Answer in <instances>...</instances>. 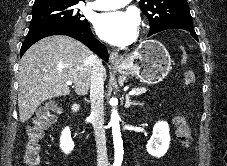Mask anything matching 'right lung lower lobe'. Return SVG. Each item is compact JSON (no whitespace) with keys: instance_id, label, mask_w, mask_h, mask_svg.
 Here are the masks:
<instances>
[{"instance_id":"right-lung-lower-lobe-1","label":"right lung lower lobe","mask_w":227,"mask_h":166,"mask_svg":"<svg viewBox=\"0 0 227 166\" xmlns=\"http://www.w3.org/2000/svg\"><path fill=\"white\" fill-rule=\"evenodd\" d=\"M52 35H67L73 37L85 44L88 48L98 54L103 60L108 61L109 56L106 47L94 37L90 30V26L76 27L66 25H53L43 27L36 31L28 32L21 47V56L35 42Z\"/></svg>"}]
</instances>
